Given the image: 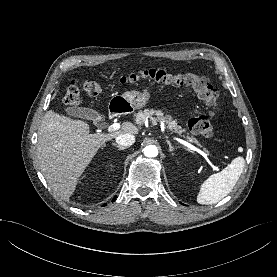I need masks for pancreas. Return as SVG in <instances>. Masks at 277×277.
I'll return each instance as SVG.
<instances>
[{
    "label": "pancreas",
    "instance_id": "pancreas-1",
    "mask_svg": "<svg viewBox=\"0 0 277 277\" xmlns=\"http://www.w3.org/2000/svg\"><path fill=\"white\" fill-rule=\"evenodd\" d=\"M150 119L152 122H156L158 120L163 121L166 125V127L173 133H177L179 135L185 133V129H182L181 126L177 124L175 120L170 115H164L159 110H153V109H145L144 111H140L136 114V123L138 125H142L146 119ZM184 138H186L188 141L195 143L196 145H200L198 140L194 137H190L189 134L182 135ZM205 151H208L204 149Z\"/></svg>",
    "mask_w": 277,
    "mask_h": 277
}]
</instances>
